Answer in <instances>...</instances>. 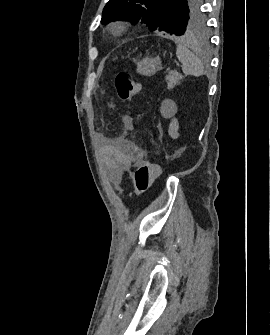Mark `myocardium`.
<instances>
[{"label": "myocardium", "instance_id": "f54148a6", "mask_svg": "<svg viewBox=\"0 0 270 335\" xmlns=\"http://www.w3.org/2000/svg\"><path fill=\"white\" fill-rule=\"evenodd\" d=\"M125 25L121 22H114L109 26V30L114 35L122 34L125 31Z\"/></svg>", "mask_w": 270, "mask_h": 335}]
</instances>
